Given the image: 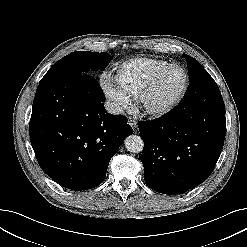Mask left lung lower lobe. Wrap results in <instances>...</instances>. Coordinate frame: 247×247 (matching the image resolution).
Listing matches in <instances>:
<instances>
[{"label":"left lung lower lobe","mask_w":247,"mask_h":247,"mask_svg":"<svg viewBox=\"0 0 247 247\" xmlns=\"http://www.w3.org/2000/svg\"><path fill=\"white\" fill-rule=\"evenodd\" d=\"M191 87L194 99H182L166 115L138 124L144 180L163 194H181L204 182L223 148L225 105L216 82L205 77Z\"/></svg>","instance_id":"obj_1"}]
</instances>
